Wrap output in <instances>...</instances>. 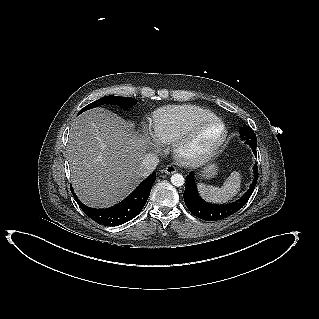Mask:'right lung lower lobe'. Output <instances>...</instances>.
Wrapping results in <instances>:
<instances>
[{
    "label": "right lung lower lobe",
    "instance_id": "right-lung-lower-lobe-1",
    "mask_svg": "<svg viewBox=\"0 0 319 319\" xmlns=\"http://www.w3.org/2000/svg\"><path fill=\"white\" fill-rule=\"evenodd\" d=\"M155 179L156 173H152L127 198L106 209L90 208L81 203L73 190L72 194L82 211L92 220L106 226H116L130 221L140 213L149 197Z\"/></svg>",
    "mask_w": 319,
    "mask_h": 319
}]
</instances>
